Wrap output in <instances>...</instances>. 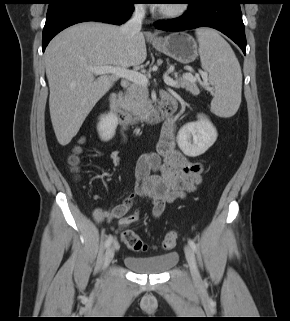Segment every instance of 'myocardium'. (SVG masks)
Segmentation results:
<instances>
[{
    "label": "myocardium",
    "instance_id": "f54148a6",
    "mask_svg": "<svg viewBox=\"0 0 290 321\" xmlns=\"http://www.w3.org/2000/svg\"><path fill=\"white\" fill-rule=\"evenodd\" d=\"M188 10L186 0H179L176 3L164 4L155 10V14L163 19H174L182 16Z\"/></svg>",
    "mask_w": 290,
    "mask_h": 321
}]
</instances>
